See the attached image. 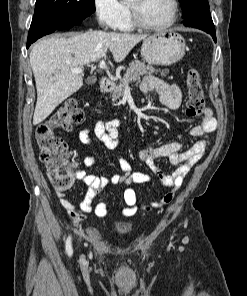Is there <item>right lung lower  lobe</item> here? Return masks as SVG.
Listing matches in <instances>:
<instances>
[{"mask_svg": "<svg viewBox=\"0 0 247 296\" xmlns=\"http://www.w3.org/2000/svg\"><path fill=\"white\" fill-rule=\"evenodd\" d=\"M82 21H60L58 18L51 17L39 23H32L28 34L27 48L44 35L50 34L55 30L69 29L74 25L80 24Z\"/></svg>", "mask_w": 247, "mask_h": 296, "instance_id": "1", "label": "right lung lower lobe"}]
</instances>
